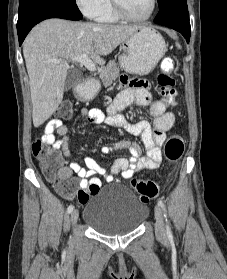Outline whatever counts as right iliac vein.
Instances as JSON below:
<instances>
[{"label": "right iliac vein", "instance_id": "63e3f726", "mask_svg": "<svg viewBox=\"0 0 227 279\" xmlns=\"http://www.w3.org/2000/svg\"><path fill=\"white\" fill-rule=\"evenodd\" d=\"M78 217H79V212L77 209H74L70 217L72 225L76 224Z\"/></svg>", "mask_w": 227, "mask_h": 279}]
</instances>
